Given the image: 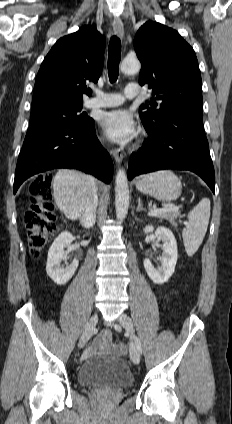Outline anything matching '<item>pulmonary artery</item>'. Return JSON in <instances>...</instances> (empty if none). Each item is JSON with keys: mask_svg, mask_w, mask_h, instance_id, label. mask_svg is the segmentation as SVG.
I'll list each match as a JSON object with an SVG mask.
<instances>
[{"mask_svg": "<svg viewBox=\"0 0 232 424\" xmlns=\"http://www.w3.org/2000/svg\"><path fill=\"white\" fill-rule=\"evenodd\" d=\"M140 94L139 85L136 83L128 84L123 94L96 92V96L87 101L88 108H107L121 105L124 100L134 98Z\"/></svg>", "mask_w": 232, "mask_h": 424, "instance_id": "1", "label": "pulmonary artery"}]
</instances>
